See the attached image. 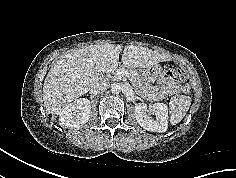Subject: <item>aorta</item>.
<instances>
[{
  "label": "aorta",
  "instance_id": "1",
  "mask_svg": "<svg viewBox=\"0 0 236 178\" xmlns=\"http://www.w3.org/2000/svg\"><path fill=\"white\" fill-rule=\"evenodd\" d=\"M122 89L123 88H122L120 83H113V84H111V92L113 94H118L119 92H121Z\"/></svg>",
  "mask_w": 236,
  "mask_h": 178
}]
</instances>
